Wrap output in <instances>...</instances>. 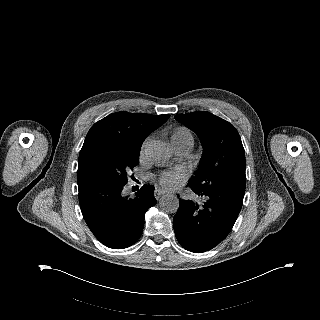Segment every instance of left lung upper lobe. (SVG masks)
Masks as SVG:
<instances>
[{
  "instance_id": "5c2ea615",
  "label": "left lung upper lobe",
  "mask_w": 320,
  "mask_h": 320,
  "mask_svg": "<svg viewBox=\"0 0 320 320\" xmlns=\"http://www.w3.org/2000/svg\"><path fill=\"white\" fill-rule=\"evenodd\" d=\"M175 119L194 131L203 147L197 172L188 186L198 192L228 185L245 189V151L234 126L202 111L179 114Z\"/></svg>"
}]
</instances>
